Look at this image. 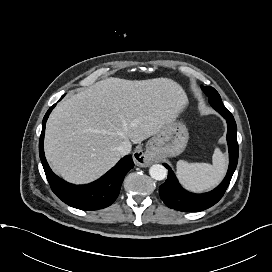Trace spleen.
I'll use <instances>...</instances> for the list:
<instances>
[{
    "mask_svg": "<svg viewBox=\"0 0 272 272\" xmlns=\"http://www.w3.org/2000/svg\"><path fill=\"white\" fill-rule=\"evenodd\" d=\"M177 176L182 185L193 192H203L215 187L224 177L227 160L219 148H215L212 164L178 161Z\"/></svg>",
    "mask_w": 272,
    "mask_h": 272,
    "instance_id": "3e777b00",
    "label": "spleen"
}]
</instances>
